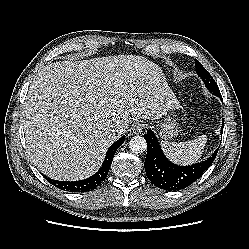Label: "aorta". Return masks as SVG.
<instances>
[{
	"label": "aorta",
	"mask_w": 249,
	"mask_h": 249,
	"mask_svg": "<svg viewBox=\"0 0 249 249\" xmlns=\"http://www.w3.org/2000/svg\"><path fill=\"white\" fill-rule=\"evenodd\" d=\"M129 148L131 152L141 154L147 148L146 140L141 136H134L129 141Z\"/></svg>",
	"instance_id": "762f6f07"
}]
</instances>
